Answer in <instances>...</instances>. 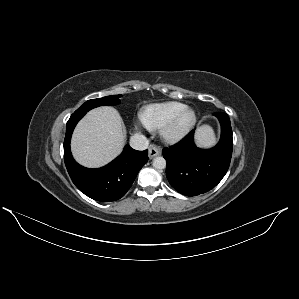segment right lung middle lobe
Listing matches in <instances>:
<instances>
[{
  "label": "right lung middle lobe",
  "mask_w": 299,
  "mask_h": 299,
  "mask_svg": "<svg viewBox=\"0 0 299 299\" xmlns=\"http://www.w3.org/2000/svg\"><path fill=\"white\" fill-rule=\"evenodd\" d=\"M119 97L121 95H113V96H106L103 98H98V99H91L86 101L81 107H79L75 112H88L89 110L98 107V106H103V105H117L120 103Z\"/></svg>",
  "instance_id": "1"
}]
</instances>
